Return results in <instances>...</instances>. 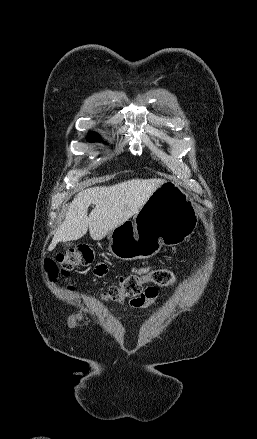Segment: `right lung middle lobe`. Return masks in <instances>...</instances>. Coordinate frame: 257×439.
Returning <instances> with one entry per match:
<instances>
[{"instance_id":"right-lung-middle-lobe-1","label":"right lung middle lobe","mask_w":257,"mask_h":439,"mask_svg":"<svg viewBox=\"0 0 257 439\" xmlns=\"http://www.w3.org/2000/svg\"><path fill=\"white\" fill-rule=\"evenodd\" d=\"M100 138L98 135H96L95 133H90V135L88 136V141L89 142H94V141H99Z\"/></svg>"}]
</instances>
